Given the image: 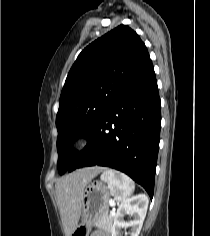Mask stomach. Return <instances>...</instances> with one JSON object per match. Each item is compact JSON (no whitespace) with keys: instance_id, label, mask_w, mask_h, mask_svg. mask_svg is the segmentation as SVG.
<instances>
[{"instance_id":"stomach-1","label":"stomach","mask_w":210,"mask_h":236,"mask_svg":"<svg viewBox=\"0 0 210 236\" xmlns=\"http://www.w3.org/2000/svg\"><path fill=\"white\" fill-rule=\"evenodd\" d=\"M111 192L101 181L89 183L83 194L81 221L71 236H89L95 222L107 211Z\"/></svg>"}]
</instances>
